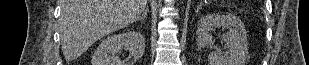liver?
I'll use <instances>...</instances> for the list:
<instances>
[{
    "instance_id": "1",
    "label": "liver",
    "mask_w": 309,
    "mask_h": 65,
    "mask_svg": "<svg viewBox=\"0 0 309 65\" xmlns=\"http://www.w3.org/2000/svg\"><path fill=\"white\" fill-rule=\"evenodd\" d=\"M146 5L147 0H61L60 35L66 61L138 20Z\"/></svg>"
}]
</instances>
